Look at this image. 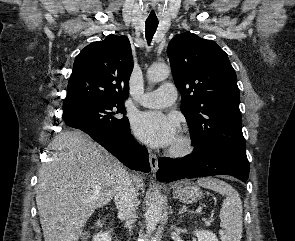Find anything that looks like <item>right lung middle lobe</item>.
Returning <instances> with one entry per match:
<instances>
[{
  "label": "right lung middle lobe",
  "mask_w": 295,
  "mask_h": 241,
  "mask_svg": "<svg viewBox=\"0 0 295 241\" xmlns=\"http://www.w3.org/2000/svg\"><path fill=\"white\" fill-rule=\"evenodd\" d=\"M125 112L124 102H93L63 110V119L74 128L99 126L122 133L130 128Z\"/></svg>",
  "instance_id": "dd1d6c3e"
}]
</instances>
